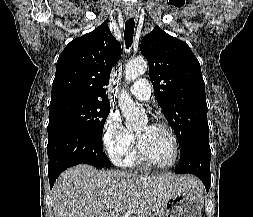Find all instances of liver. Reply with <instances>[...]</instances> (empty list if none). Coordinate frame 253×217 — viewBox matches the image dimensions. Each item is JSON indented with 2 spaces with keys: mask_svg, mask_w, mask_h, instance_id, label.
<instances>
[{
  "mask_svg": "<svg viewBox=\"0 0 253 217\" xmlns=\"http://www.w3.org/2000/svg\"><path fill=\"white\" fill-rule=\"evenodd\" d=\"M179 193L201 199L204 189L191 175H137L79 164L59 176L51 198L54 217H122L125 210L138 217L155 215Z\"/></svg>",
  "mask_w": 253,
  "mask_h": 217,
  "instance_id": "obj_1",
  "label": "liver"
}]
</instances>
